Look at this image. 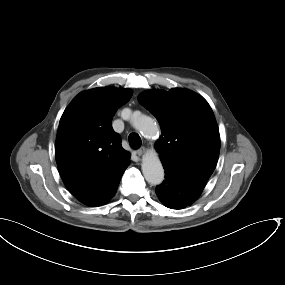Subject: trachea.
Segmentation results:
<instances>
[{
  "instance_id": "trachea-1",
  "label": "trachea",
  "mask_w": 285,
  "mask_h": 285,
  "mask_svg": "<svg viewBox=\"0 0 285 285\" xmlns=\"http://www.w3.org/2000/svg\"><path fill=\"white\" fill-rule=\"evenodd\" d=\"M141 144V138L137 133H131L129 135V145L132 149L140 148Z\"/></svg>"
}]
</instances>
